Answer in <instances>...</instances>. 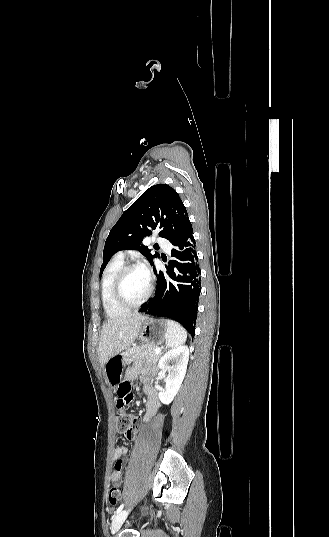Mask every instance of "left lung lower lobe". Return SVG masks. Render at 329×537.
I'll return each instance as SVG.
<instances>
[{"label":"left lung lower lobe","mask_w":329,"mask_h":537,"mask_svg":"<svg viewBox=\"0 0 329 537\" xmlns=\"http://www.w3.org/2000/svg\"><path fill=\"white\" fill-rule=\"evenodd\" d=\"M174 246L167 274L154 269L157 276L153 298L143 304V312L166 316L179 322L192 336L195 334L198 300L201 291L200 269L190 221L171 242Z\"/></svg>","instance_id":"obj_1"}]
</instances>
